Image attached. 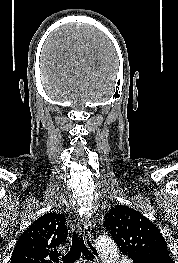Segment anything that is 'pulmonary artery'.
Instances as JSON below:
<instances>
[{"mask_svg": "<svg viewBox=\"0 0 178 263\" xmlns=\"http://www.w3.org/2000/svg\"><path fill=\"white\" fill-rule=\"evenodd\" d=\"M121 263H129L128 260H122Z\"/></svg>", "mask_w": 178, "mask_h": 263, "instance_id": "pulmonary-artery-1", "label": "pulmonary artery"}]
</instances>
